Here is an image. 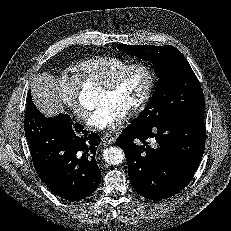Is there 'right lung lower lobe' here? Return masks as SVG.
Returning a JSON list of instances; mask_svg holds the SVG:
<instances>
[{
    "mask_svg": "<svg viewBox=\"0 0 231 231\" xmlns=\"http://www.w3.org/2000/svg\"><path fill=\"white\" fill-rule=\"evenodd\" d=\"M25 135L36 172L57 196L78 201L93 193L101 173L95 160L100 138L67 114L46 118L27 95Z\"/></svg>",
    "mask_w": 231,
    "mask_h": 231,
    "instance_id": "right-lung-lower-lobe-1",
    "label": "right lung lower lobe"
}]
</instances>
